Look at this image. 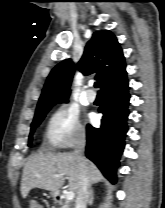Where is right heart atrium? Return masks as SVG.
Returning <instances> with one entry per match:
<instances>
[{
    "mask_svg": "<svg viewBox=\"0 0 165 208\" xmlns=\"http://www.w3.org/2000/svg\"><path fill=\"white\" fill-rule=\"evenodd\" d=\"M84 129L77 108L63 105L50 117L46 139L55 148L72 147L84 139Z\"/></svg>",
    "mask_w": 165,
    "mask_h": 208,
    "instance_id": "obj_1",
    "label": "right heart atrium"
}]
</instances>
